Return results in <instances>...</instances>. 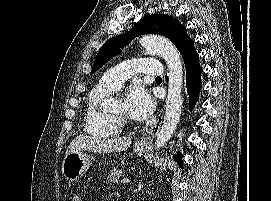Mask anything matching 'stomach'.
<instances>
[{"instance_id":"0dacf381","label":"stomach","mask_w":271,"mask_h":201,"mask_svg":"<svg viewBox=\"0 0 271 201\" xmlns=\"http://www.w3.org/2000/svg\"><path fill=\"white\" fill-rule=\"evenodd\" d=\"M147 146L134 145L133 150L136 154H143ZM93 156L81 151L72 152L65 156L62 163V174L66 180L73 182L81 178L92 165Z\"/></svg>"}]
</instances>
